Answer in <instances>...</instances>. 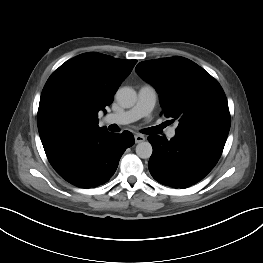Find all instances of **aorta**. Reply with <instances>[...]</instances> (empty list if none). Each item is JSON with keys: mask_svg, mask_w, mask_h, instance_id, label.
Segmentation results:
<instances>
[{"mask_svg": "<svg viewBox=\"0 0 263 263\" xmlns=\"http://www.w3.org/2000/svg\"><path fill=\"white\" fill-rule=\"evenodd\" d=\"M116 99L122 107L130 108L136 103L137 94L135 90L130 87H122L116 92ZM152 152L153 148L149 142H140L136 146V154L142 159L150 158Z\"/></svg>", "mask_w": 263, "mask_h": 263, "instance_id": "1", "label": "aorta"}]
</instances>
